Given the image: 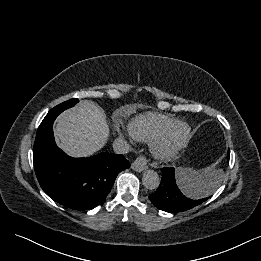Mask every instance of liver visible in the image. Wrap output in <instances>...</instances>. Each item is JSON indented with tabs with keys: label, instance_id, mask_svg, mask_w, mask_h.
I'll list each match as a JSON object with an SVG mask.
<instances>
[{
	"label": "liver",
	"instance_id": "1",
	"mask_svg": "<svg viewBox=\"0 0 261 261\" xmlns=\"http://www.w3.org/2000/svg\"><path fill=\"white\" fill-rule=\"evenodd\" d=\"M54 132L58 146L69 156L88 157L106 144L109 125L98 104L83 100L60 114Z\"/></svg>",
	"mask_w": 261,
	"mask_h": 261
}]
</instances>
